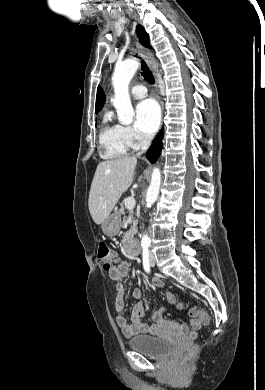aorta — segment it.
Here are the masks:
<instances>
[{
	"label": "aorta",
	"mask_w": 265,
	"mask_h": 390,
	"mask_svg": "<svg viewBox=\"0 0 265 390\" xmlns=\"http://www.w3.org/2000/svg\"><path fill=\"white\" fill-rule=\"evenodd\" d=\"M139 67V63L135 59H128L119 62L115 66L112 76V84L114 87L113 105L117 110L118 119L124 124H130L134 118V109L131 104L129 95V83ZM161 184V172L159 168H154L152 172L150 186L146 194V206L151 207L159 194ZM151 240L148 234H143L141 246L148 247Z\"/></svg>",
	"instance_id": "762f6f07"
}]
</instances>
